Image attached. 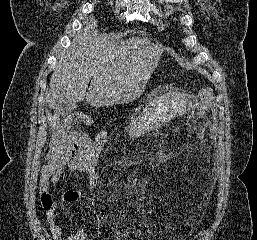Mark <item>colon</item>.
<instances>
[{
    "label": "colon",
    "instance_id": "colon-1",
    "mask_svg": "<svg viewBox=\"0 0 257 240\" xmlns=\"http://www.w3.org/2000/svg\"><path fill=\"white\" fill-rule=\"evenodd\" d=\"M212 97L213 92L210 88H204L200 91L197 106L192 112L187 124L188 130L191 134H196L199 131L201 119L205 115ZM41 201L45 209H50L54 205V201L50 194L42 195Z\"/></svg>",
    "mask_w": 257,
    "mask_h": 240
}]
</instances>
